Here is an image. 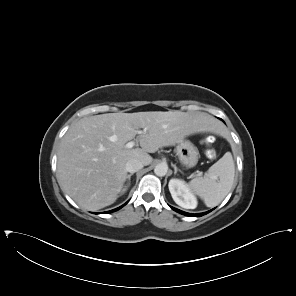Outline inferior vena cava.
Segmentation results:
<instances>
[{
    "label": "inferior vena cava",
    "instance_id": "obj_1",
    "mask_svg": "<svg viewBox=\"0 0 296 296\" xmlns=\"http://www.w3.org/2000/svg\"><path fill=\"white\" fill-rule=\"evenodd\" d=\"M143 163L138 159H131L126 163V170L130 173H135L143 168Z\"/></svg>",
    "mask_w": 296,
    "mask_h": 296
}]
</instances>
